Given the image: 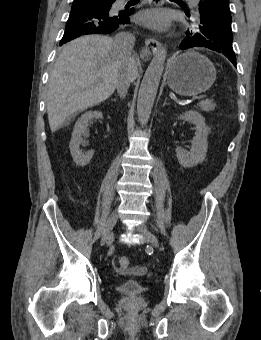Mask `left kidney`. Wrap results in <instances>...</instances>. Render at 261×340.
I'll list each match as a JSON object with an SVG mask.
<instances>
[{
	"mask_svg": "<svg viewBox=\"0 0 261 340\" xmlns=\"http://www.w3.org/2000/svg\"><path fill=\"white\" fill-rule=\"evenodd\" d=\"M178 119L186 120L196 127L195 137L193 138L190 151H185L182 148L176 149L178 162L183 167L190 168L202 163L206 157L208 149V132L205 128V119L196 111H187L180 115Z\"/></svg>",
	"mask_w": 261,
	"mask_h": 340,
	"instance_id": "obj_1",
	"label": "left kidney"
}]
</instances>
